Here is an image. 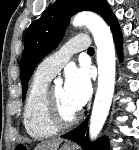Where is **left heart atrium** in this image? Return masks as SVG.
Segmentation results:
<instances>
[{
  "instance_id": "39dd6f15",
  "label": "left heart atrium",
  "mask_w": 139,
  "mask_h": 150,
  "mask_svg": "<svg viewBox=\"0 0 139 150\" xmlns=\"http://www.w3.org/2000/svg\"><path fill=\"white\" fill-rule=\"evenodd\" d=\"M64 90L71 104L79 110L91 96V82L85 68H71L66 73Z\"/></svg>"
}]
</instances>
